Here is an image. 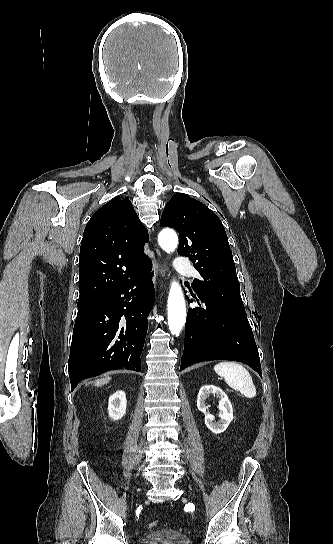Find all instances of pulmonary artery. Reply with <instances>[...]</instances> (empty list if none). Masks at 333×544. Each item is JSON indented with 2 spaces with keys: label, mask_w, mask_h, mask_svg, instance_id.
I'll list each match as a JSON object with an SVG mask.
<instances>
[{
  "label": "pulmonary artery",
  "mask_w": 333,
  "mask_h": 544,
  "mask_svg": "<svg viewBox=\"0 0 333 544\" xmlns=\"http://www.w3.org/2000/svg\"><path fill=\"white\" fill-rule=\"evenodd\" d=\"M175 268L178 273L185 276H195L197 274L192 265L182 258L177 259Z\"/></svg>",
  "instance_id": "e3ab8cb5"
}]
</instances>
